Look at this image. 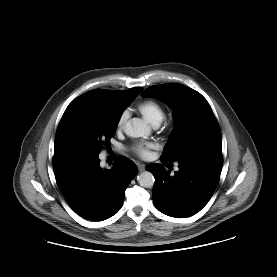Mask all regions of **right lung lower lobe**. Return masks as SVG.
Segmentation results:
<instances>
[{"instance_id":"1","label":"right lung lower lobe","mask_w":277,"mask_h":277,"mask_svg":"<svg viewBox=\"0 0 277 277\" xmlns=\"http://www.w3.org/2000/svg\"><path fill=\"white\" fill-rule=\"evenodd\" d=\"M110 170L101 169L98 154L76 151L54 153L57 185L69 206L81 217L105 220L123 204L125 190L137 166L119 156Z\"/></svg>"}]
</instances>
